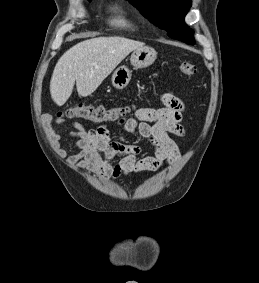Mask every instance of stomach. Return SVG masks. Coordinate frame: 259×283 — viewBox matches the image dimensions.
<instances>
[{"label":"stomach","mask_w":259,"mask_h":283,"mask_svg":"<svg viewBox=\"0 0 259 283\" xmlns=\"http://www.w3.org/2000/svg\"><path fill=\"white\" fill-rule=\"evenodd\" d=\"M157 52L149 46H142L133 50L130 61L136 68H145L150 66L156 59ZM131 80V71L126 66L118 67L112 74V85L116 89L125 88Z\"/></svg>","instance_id":"obj_1"}]
</instances>
